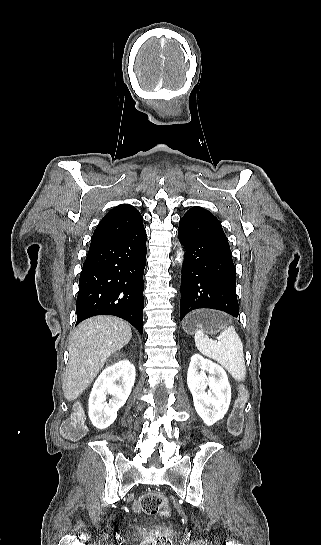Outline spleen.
<instances>
[{
    "label": "spleen",
    "instance_id": "spleen-1",
    "mask_svg": "<svg viewBox=\"0 0 321 545\" xmlns=\"http://www.w3.org/2000/svg\"><path fill=\"white\" fill-rule=\"evenodd\" d=\"M195 345L205 357L214 359L219 365H222L235 381H244L246 377L245 359L243 353V343L237 335L234 327H226L217 341L207 339L203 331H196Z\"/></svg>",
    "mask_w": 321,
    "mask_h": 545
}]
</instances>
